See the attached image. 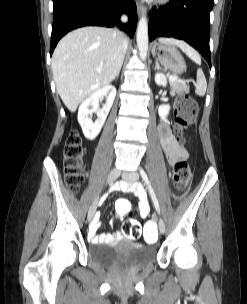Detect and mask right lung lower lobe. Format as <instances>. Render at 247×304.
<instances>
[{
    "mask_svg": "<svg viewBox=\"0 0 247 304\" xmlns=\"http://www.w3.org/2000/svg\"><path fill=\"white\" fill-rule=\"evenodd\" d=\"M50 55L58 41L69 31L82 26H118L133 37L137 25L136 4L131 0H53ZM126 13L127 24L120 22Z\"/></svg>",
    "mask_w": 247,
    "mask_h": 304,
    "instance_id": "98d812e1",
    "label": "right lung lower lobe"
}]
</instances>
